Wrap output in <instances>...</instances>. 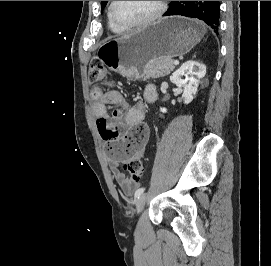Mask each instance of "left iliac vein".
Here are the masks:
<instances>
[{
	"mask_svg": "<svg viewBox=\"0 0 271 266\" xmlns=\"http://www.w3.org/2000/svg\"><path fill=\"white\" fill-rule=\"evenodd\" d=\"M146 203V195H141L140 197L137 198L136 202H135V207H136V212L139 214Z\"/></svg>",
	"mask_w": 271,
	"mask_h": 266,
	"instance_id": "4c4485c4",
	"label": "left iliac vein"
}]
</instances>
